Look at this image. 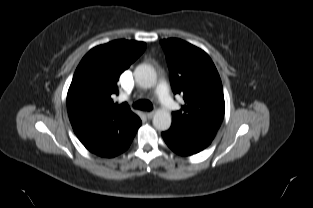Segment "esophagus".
<instances>
[{
	"label": "esophagus",
	"mask_w": 313,
	"mask_h": 208,
	"mask_svg": "<svg viewBox=\"0 0 313 208\" xmlns=\"http://www.w3.org/2000/svg\"><path fill=\"white\" fill-rule=\"evenodd\" d=\"M155 112L151 111V112H145V115L147 117V119H152L154 116Z\"/></svg>",
	"instance_id": "obj_1"
}]
</instances>
